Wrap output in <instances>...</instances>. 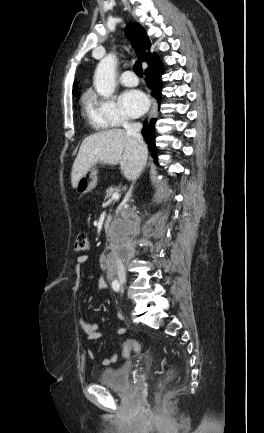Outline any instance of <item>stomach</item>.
<instances>
[{"mask_svg": "<svg viewBox=\"0 0 264 433\" xmlns=\"http://www.w3.org/2000/svg\"><path fill=\"white\" fill-rule=\"evenodd\" d=\"M97 169L91 167L77 182L76 190L79 194H86L93 190L97 184Z\"/></svg>", "mask_w": 264, "mask_h": 433, "instance_id": "obj_1", "label": "stomach"}]
</instances>
